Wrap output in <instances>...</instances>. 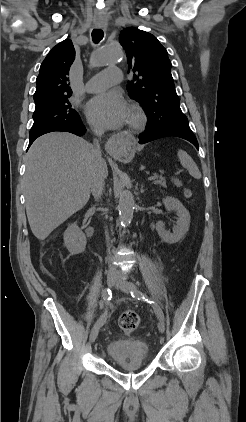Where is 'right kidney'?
Listing matches in <instances>:
<instances>
[{"label": "right kidney", "mask_w": 246, "mask_h": 422, "mask_svg": "<svg viewBox=\"0 0 246 422\" xmlns=\"http://www.w3.org/2000/svg\"><path fill=\"white\" fill-rule=\"evenodd\" d=\"M64 243L72 255L80 254L86 247V236L76 223L71 224L64 233Z\"/></svg>", "instance_id": "obj_1"}]
</instances>
